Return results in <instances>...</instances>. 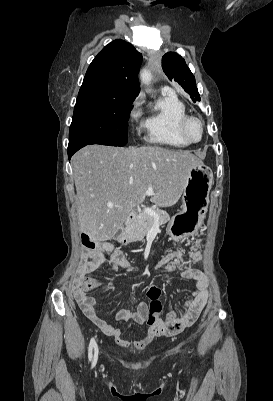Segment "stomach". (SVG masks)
<instances>
[{
	"label": "stomach",
	"mask_w": 273,
	"mask_h": 401,
	"mask_svg": "<svg viewBox=\"0 0 273 401\" xmlns=\"http://www.w3.org/2000/svg\"><path fill=\"white\" fill-rule=\"evenodd\" d=\"M213 184V172L200 162L187 170V180L182 192V211L169 221L167 235L173 241L189 239L203 225L209 205V192Z\"/></svg>",
	"instance_id": "0dacf381"
}]
</instances>
